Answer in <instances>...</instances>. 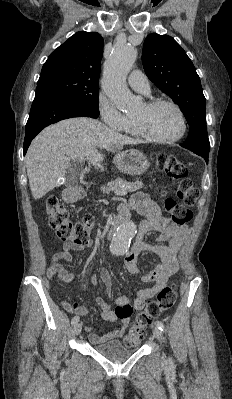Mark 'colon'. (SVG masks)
I'll return each mask as SVG.
<instances>
[{"mask_svg": "<svg viewBox=\"0 0 232 399\" xmlns=\"http://www.w3.org/2000/svg\"><path fill=\"white\" fill-rule=\"evenodd\" d=\"M150 160L154 164H159L160 172H172L173 180L178 188V203L176 198H162L165 203V212L170 213V218H176V222H193V213L191 209L196 204L191 203L193 196H200V191H194L193 181L190 175V163L185 160L174 159L166 153L154 151L150 155ZM46 195V200H42V206L45 212V218L49 221V227H53L57 239L71 240L73 244H89L95 237L93 227V215H82L83 222H72L65 211L57 202L53 194ZM177 284H168V289H159L161 296H149L146 309L138 311V322L132 325V329L124 337L125 347H138V341L147 333L151 326L153 317L162 316V312H168L175 306L176 293L172 289H177Z\"/></svg>", "mask_w": 232, "mask_h": 399, "instance_id": "1", "label": "colon"}]
</instances>
